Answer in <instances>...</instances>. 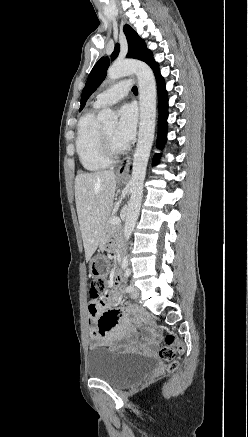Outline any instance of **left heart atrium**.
I'll list each match as a JSON object with an SVG mask.
<instances>
[{
    "label": "left heart atrium",
    "mask_w": 248,
    "mask_h": 437,
    "mask_svg": "<svg viewBox=\"0 0 248 437\" xmlns=\"http://www.w3.org/2000/svg\"><path fill=\"white\" fill-rule=\"evenodd\" d=\"M137 111L131 104H125L119 110V121L114 137L121 145L129 143L136 131Z\"/></svg>",
    "instance_id": "left-heart-atrium-1"
}]
</instances>
